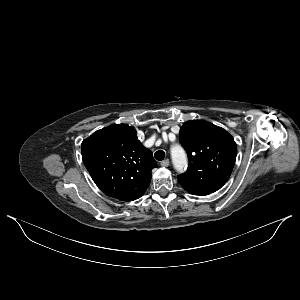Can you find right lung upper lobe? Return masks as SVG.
<instances>
[{
    "label": "right lung upper lobe",
    "instance_id": "1",
    "mask_svg": "<svg viewBox=\"0 0 300 300\" xmlns=\"http://www.w3.org/2000/svg\"><path fill=\"white\" fill-rule=\"evenodd\" d=\"M82 158L95 184L120 201L140 198L157 167L152 151L137 139L136 130L113 124L96 131L82 142Z\"/></svg>",
    "mask_w": 300,
    "mask_h": 300
}]
</instances>
